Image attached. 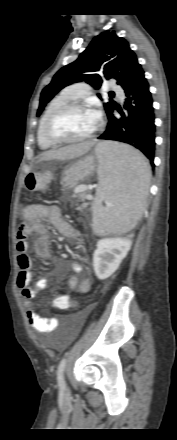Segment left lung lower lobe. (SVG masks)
I'll use <instances>...</instances> for the list:
<instances>
[{
	"label": "left lung lower lobe",
	"instance_id": "obj_1",
	"mask_svg": "<svg viewBox=\"0 0 177 440\" xmlns=\"http://www.w3.org/2000/svg\"><path fill=\"white\" fill-rule=\"evenodd\" d=\"M127 96L124 108L117 119L113 111L108 115L106 131L98 139L116 140L139 149L154 167L155 115L149 84L140 69L132 82L124 88ZM118 109L119 107H115Z\"/></svg>",
	"mask_w": 177,
	"mask_h": 440
}]
</instances>
